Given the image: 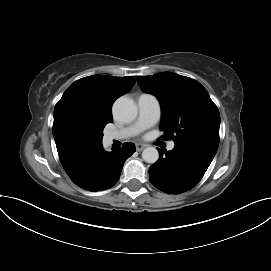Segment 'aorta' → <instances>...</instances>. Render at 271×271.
<instances>
[{"instance_id":"obj_1","label":"aorta","mask_w":271,"mask_h":271,"mask_svg":"<svg viewBox=\"0 0 271 271\" xmlns=\"http://www.w3.org/2000/svg\"><path fill=\"white\" fill-rule=\"evenodd\" d=\"M113 113L122 122H131L137 116V106L134 101L127 97L118 98L113 105ZM142 158L147 163H155L159 158L155 147H147L142 152Z\"/></svg>"}]
</instances>
